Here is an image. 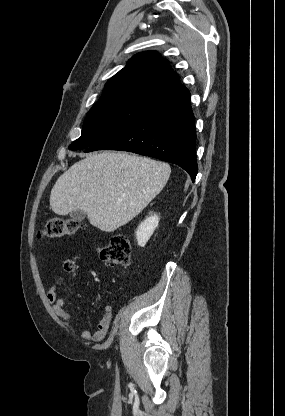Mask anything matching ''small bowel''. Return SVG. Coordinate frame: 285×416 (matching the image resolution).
<instances>
[{
    "label": "small bowel",
    "mask_w": 285,
    "mask_h": 416,
    "mask_svg": "<svg viewBox=\"0 0 285 416\" xmlns=\"http://www.w3.org/2000/svg\"><path fill=\"white\" fill-rule=\"evenodd\" d=\"M64 279L58 277L55 279L54 284L47 291V299L52 305V310L59 322L74 332L72 326V319L70 313L65 309V302L62 298L58 297L56 289L59 285L63 283ZM113 316V308L111 305H106L103 310V315L101 320L98 323L97 330L92 333L89 330H84L81 333V337L84 340L92 342H101L106 337L108 330L110 328L111 320Z\"/></svg>",
    "instance_id": "1"
}]
</instances>
